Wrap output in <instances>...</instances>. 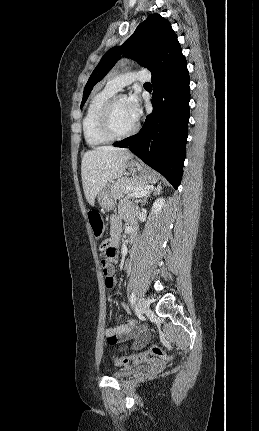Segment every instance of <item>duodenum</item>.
<instances>
[{
  "mask_svg": "<svg viewBox=\"0 0 259 431\" xmlns=\"http://www.w3.org/2000/svg\"><path fill=\"white\" fill-rule=\"evenodd\" d=\"M129 231L131 240H134V238L136 237V227L133 223L130 225Z\"/></svg>",
  "mask_w": 259,
  "mask_h": 431,
  "instance_id": "1",
  "label": "duodenum"
}]
</instances>
